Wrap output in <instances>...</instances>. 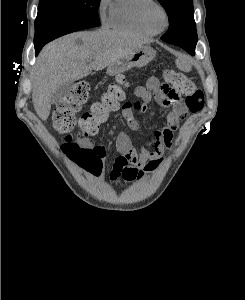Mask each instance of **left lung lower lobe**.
Segmentation results:
<instances>
[{"instance_id":"left-lung-lower-lobe-1","label":"left lung lower lobe","mask_w":245,"mask_h":300,"mask_svg":"<svg viewBox=\"0 0 245 300\" xmlns=\"http://www.w3.org/2000/svg\"><path fill=\"white\" fill-rule=\"evenodd\" d=\"M188 43H189V39L187 38V39L184 40L183 42L177 43V46L182 47V48L185 49L189 54L194 55L195 48H189Z\"/></svg>"}]
</instances>
